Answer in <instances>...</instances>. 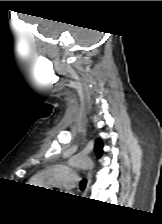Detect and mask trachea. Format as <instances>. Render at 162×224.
Segmentation results:
<instances>
[{
    "mask_svg": "<svg viewBox=\"0 0 162 224\" xmlns=\"http://www.w3.org/2000/svg\"><path fill=\"white\" fill-rule=\"evenodd\" d=\"M85 187H86V180L83 179V180L81 181V183H80V188H81L82 190H84Z\"/></svg>",
    "mask_w": 162,
    "mask_h": 224,
    "instance_id": "trachea-1",
    "label": "trachea"
}]
</instances>
